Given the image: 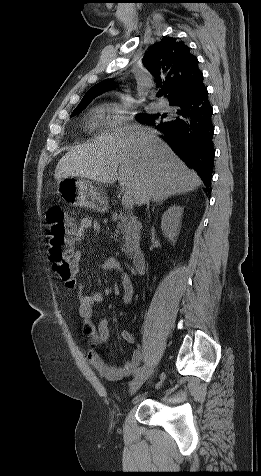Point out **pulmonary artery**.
<instances>
[{
	"label": "pulmonary artery",
	"mask_w": 261,
	"mask_h": 476,
	"mask_svg": "<svg viewBox=\"0 0 261 476\" xmlns=\"http://www.w3.org/2000/svg\"><path fill=\"white\" fill-rule=\"evenodd\" d=\"M156 106H157V108H158L159 110H161V111H166V110H167V106H166V104H164L163 102H158V103L156 104Z\"/></svg>",
	"instance_id": "obj_1"
}]
</instances>
